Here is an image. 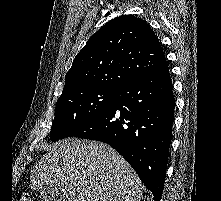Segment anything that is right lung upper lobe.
<instances>
[{"label": "right lung upper lobe", "mask_w": 221, "mask_h": 201, "mask_svg": "<svg viewBox=\"0 0 221 201\" xmlns=\"http://www.w3.org/2000/svg\"><path fill=\"white\" fill-rule=\"evenodd\" d=\"M151 27L132 15L117 17L90 37L65 76L62 95L89 89H119L164 63Z\"/></svg>", "instance_id": "obj_1"}]
</instances>
